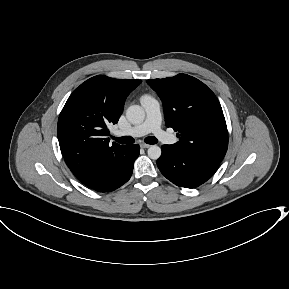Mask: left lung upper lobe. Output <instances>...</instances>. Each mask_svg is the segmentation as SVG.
<instances>
[{
    "mask_svg": "<svg viewBox=\"0 0 289 289\" xmlns=\"http://www.w3.org/2000/svg\"><path fill=\"white\" fill-rule=\"evenodd\" d=\"M163 102L166 126L178 131L172 146L184 153L221 162L228 132L221 105L201 81L187 74L147 80Z\"/></svg>",
    "mask_w": 289,
    "mask_h": 289,
    "instance_id": "obj_1",
    "label": "left lung upper lobe"
}]
</instances>
